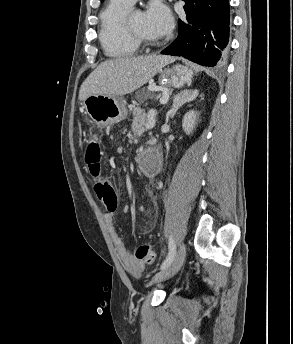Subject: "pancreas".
I'll return each mask as SVG.
<instances>
[{"mask_svg":"<svg viewBox=\"0 0 293 344\" xmlns=\"http://www.w3.org/2000/svg\"><path fill=\"white\" fill-rule=\"evenodd\" d=\"M152 94L148 92L147 97H151ZM134 115V123H141L143 124L146 121V115L143 110L141 109H134L133 110Z\"/></svg>","mask_w":293,"mask_h":344,"instance_id":"1","label":"pancreas"}]
</instances>
